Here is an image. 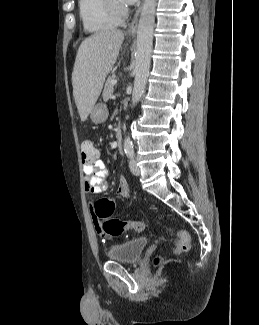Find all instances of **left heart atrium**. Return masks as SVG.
Returning <instances> with one entry per match:
<instances>
[{"label":"left heart atrium","instance_id":"obj_1","mask_svg":"<svg viewBox=\"0 0 259 325\" xmlns=\"http://www.w3.org/2000/svg\"><path fill=\"white\" fill-rule=\"evenodd\" d=\"M125 4H133L136 0H121Z\"/></svg>","mask_w":259,"mask_h":325}]
</instances>
